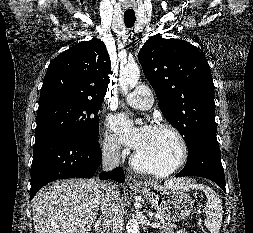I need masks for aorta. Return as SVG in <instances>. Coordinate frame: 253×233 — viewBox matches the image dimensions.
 <instances>
[{"instance_id": "762f6f07", "label": "aorta", "mask_w": 253, "mask_h": 233, "mask_svg": "<svg viewBox=\"0 0 253 233\" xmlns=\"http://www.w3.org/2000/svg\"><path fill=\"white\" fill-rule=\"evenodd\" d=\"M140 77V69L137 64H129L120 69L119 84L121 89L126 93L133 89ZM127 233H139V224L136 218L127 222Z\"/></svg>"}]
</instances>
